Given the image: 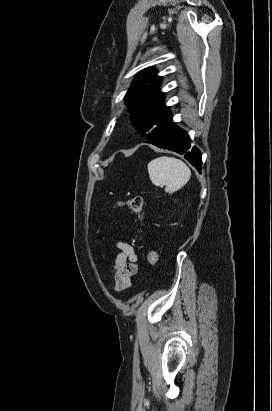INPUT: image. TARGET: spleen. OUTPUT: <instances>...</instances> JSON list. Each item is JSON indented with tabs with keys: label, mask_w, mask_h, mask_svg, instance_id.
I'll use <instances>...</instances> for the list:
<instances>
[{
	"label": "spleen",
	"mask_w": 272,
	"mask_h": 411,
	"mask_svg": "<svg viewBox=\"0 0 272 411\" xmlns=\"http://www.w3.org/2000/svg\"><path fill=\"white\" fill-rule=\"evenodd\" d=\"M149 178L156 186L164 185L165 191L173 193L182 188L190 179L191 171L181 160L161 156L148 164Z\"/></svg>",
	"instance_id": "obj_1"
}]
</instances>
